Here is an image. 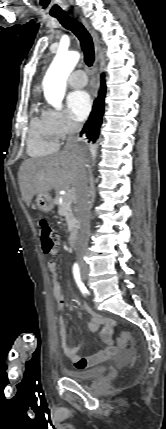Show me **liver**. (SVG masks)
<instances>
[{
    "label": "liver",
    "instance_id": "6515ba94",
    "mask_svg": "<svg viewBox=\"0 0 166 429\" xmlns=\"http://www.w3.org/2000/svg\"><path fill=\"white\" fill-rule=\"evenodd\" d=\"M85 163L84 152L65 149L52 156L25 160L19 168L18 181L26 205L29 207L37 194L76 187Z\"/></svg>",
    "mask_w": 166,
    "mask_h": 429
}]
</instances>
